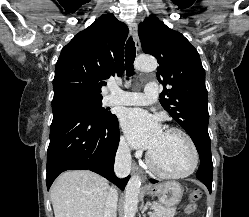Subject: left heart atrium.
<instances>
[{
	"instance_id": "obj_1",
	"label": "left heart atrium",
	"mask_w": 249,
	"mask_h": 217,
	"mask_svg": "<svg viewBox=\"0 0 249 217\" xmlns=\"http://www.w3.org/2000/svg\"><path fill=\"white\" fill-rule=\"evenodd\" d=\"M121 125L129 143L135 148L152 150L163 134L158 119L142 109L126 110Z\"/></svg>"
}]
</instances>
